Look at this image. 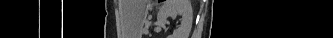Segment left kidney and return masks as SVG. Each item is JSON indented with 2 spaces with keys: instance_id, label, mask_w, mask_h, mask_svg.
Masks as SVG:
<instances>
[{
  "instance_id": "1",
  "label": "left kidney",
  "mask_w": 333,
  "mask_h": 38,
  "mask_svg": "<svg viewBox=\"0 0 333 38\" xmlns=\"http://www.w3.org/2000/svg\"><path fill=\"white\" fill-rule=\"evenodd\" d=\"M182 18L180 24L176 26L171 38H188L192 27V6L189 0H165L157 13V21L161 24H167L168 17Z\"/></svg>"
}]
</instances>
